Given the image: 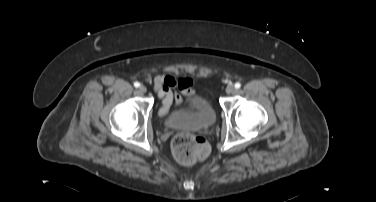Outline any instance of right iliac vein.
I'll return each instance as SVG.
<instances>
[{"label":"right iliac vein","mask_w":376,"mask_h":202,"mask_svg":"<svg viewBox=\"0 0 376 202\" xmlns=\"http://www.w3.org/2000/svg\"><path fill=\"white\" fill-rule=\"evenodd\" d=\"M146 91H147V88H146L145 86L141 85V86L139 87V92H140V93L144 94V93H146Z\"/></svg>","instance_id":"1"}]
</instances>
